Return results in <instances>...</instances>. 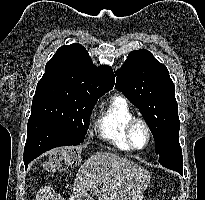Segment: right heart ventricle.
Listing matches in <instances>:
<instances>
[{
    "mask_svg": "<svg viewBox=\"0 0 205 200\" xmlns=\"http://www.w3.org/2000/svg\"><path fill=\"white\" fill-rule=\"evenodd\" d=\"M135 118L127 100L120 95L111 97L104 105L96 122L100 137L120 150H131L126 137L125 127Z\"/></svg>",
    "mask_w": 205,
    "mask_h": 200,
    "instance_id": "1",
    "label": "right heart ventricle"
}]
</instances>
